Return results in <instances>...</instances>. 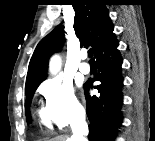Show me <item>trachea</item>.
<instances>
[{"mask_svg": "<svg viewBox=\"0 0 155 141\" xmlns=\"http://www.w3.org/2000/svg\"><path fill=\"white\" fill-rule=\"evenodd\" d=\"M92 55H93V51H92V49H89L88 50V56L91 58ZM91 62H94V60L92 59Z\"/></svg>", "mask_w": 155, "mask_h": 141, "instance_id": "1", "label": "trachea"}]
</instances>
